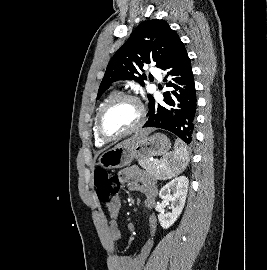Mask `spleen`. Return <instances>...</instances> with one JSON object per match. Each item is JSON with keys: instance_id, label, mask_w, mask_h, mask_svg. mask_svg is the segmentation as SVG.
Returning a JSON list of instances; mask_svg holds the SVG:
<instances>
[{"instance_id": "3e777b00", "label": "spleen", "mask_w": 267, "mask_h": 270, "mask_svg": "<svg viewBox=\"0 0 267 270\" xmlns=\"http://www.w3.org/2000/svg\"><path fill=\"white\" fill-rule=\"evenodd\" d=\"M189 154L186 145L176 139L174 151L167 154L161 160L160 177L162 179L179 175L188 165Z\"/></svg>"}]
</instances>
